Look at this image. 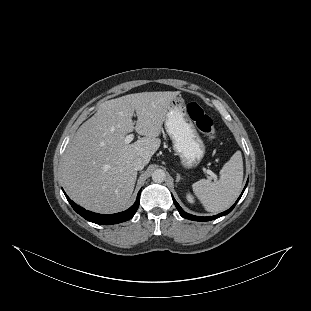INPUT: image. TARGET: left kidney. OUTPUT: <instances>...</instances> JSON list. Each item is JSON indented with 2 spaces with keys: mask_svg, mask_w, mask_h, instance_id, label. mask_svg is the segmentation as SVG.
I'll use <instances>...</instances> for the list:
<instances>
[{
  "mask_svg": "<svg viewBox=\"0 0 311 311\" xmlns=\"http://www.w3.org/2000/svg\"><path fill=\"white\" fill-rule=\"evenodd\" d=\"M188 200H189V201H192V198H191L190 196H188Z\"/></svg>",
  "mask_w": 311,
  "mask_h": 311,
  "instance_id": "left-kidney-1",
  "label": "left kidney"
}]
</instances>
